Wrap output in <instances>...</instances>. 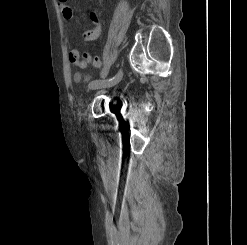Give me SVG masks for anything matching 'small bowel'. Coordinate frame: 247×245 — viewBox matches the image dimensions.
Listing matches in <instances>:
<instances>
[{
  "label": "small bowel",
  "instance_id": "1",
  "mask_svg": "<svg viewBox=\"0 0 247 245\" xmlns=\"http://www.w3.org/2000/svg\"><path fill=\"white\" fill-rule=\"evenodd\" d=\"M68 0H57V4L61 9L62 15L66 20H71L73 17L72 9L67 5ZM90 19L94 23V27L92 30L84 33L82 35V39L84 40H94L98 38L101 34L102 27L100 25L99 19L95 12H90ZM69 61L80 68H85L88 65H92L94 67H99L101 65V59L99 56H91L87 53H82L78 49H73L69 52Z\"/></svg>",
  "mask_w": 247,
  "mask_h": 245
}]
</instances>
